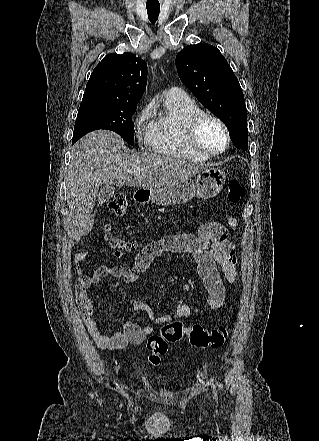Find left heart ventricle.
<instances>
[{
    "label": "left heart ventricle",
    "instance_id": "b2bd125f",
    "mask_svg": "<svg viewBox=\"0 0 319 441\" xmlns=\"http://www.w3.org/2000/svg\"><path fill=\"white\" fill-rule=\"evenodd\" d=\"M199 141L203 147L217 151L223 148L225 136L216 123L208 121L200 130Z\"/></svg>",
    "mask_w": 319,
    "mask_h": 441
}]
</instances>
